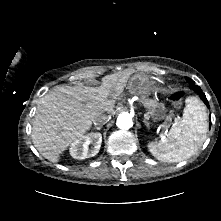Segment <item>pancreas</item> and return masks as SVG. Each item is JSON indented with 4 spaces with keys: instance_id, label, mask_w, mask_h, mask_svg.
Returning <instances> with one entry per match:
<instances>
[{
    "instance_id": "pancreas-1",
    "label": "pancreas",
    "mask_w": 221,
    "mask_h": 221,
    "mask_svg": "<svg viewBox=\"0 0 221 221\" xmlns=\"http://www.w3.org/2000/svg\"><path fill=\"white\" fill-rule=\"evenodd\" d=\"M142 104L144 105V107L149 111V114L151 115H157L158 113H162L160 118H164V104L163 103H159L153 99H149V98H145L142 97L141 100ZM167 119H171V115L167 117Z\"/></svg>"
}]
</instances>
